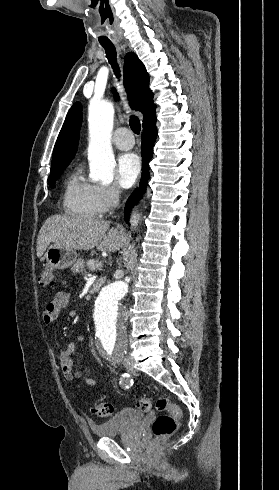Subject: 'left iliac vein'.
<instances>
[{"label":"left iliac vein","instance_id":"1","mask_svg":"<svg viewBox=\"0 0 279 490\" xmlns=\"http://www.w3.org/2000/svg\"><path fill=\"white\" fill-rule=\"evenodd\" d=\"M117 358H118V359H117L118 361H119V360H123V359H124V356H123V355H120V356H118Z\"/></svg>","mask_w":279,"mask_h":490}]
</instances>
